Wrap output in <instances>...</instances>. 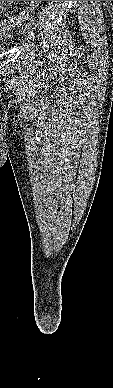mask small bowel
I'll list each match as a JSON object with an SVG mask.
<instances>
[{"label": "small bowel", "instance_id": "obj_1", "mask_svg": "<svg viewBox=\"0 0 113 388\" xmlns=\"http://www.w3.org/2000/svg\"><path fill=\"white\" fill-rule=\"evenodd\" d=\"M13 3H14V1H0V12L2 10H4L6 7L11 6ZM0 27H1V25H0ZM2 30H4V29L1 27V32H2Z\"/></svg>", "mask_w": 113, "mask_h": 388}]
</instances>
